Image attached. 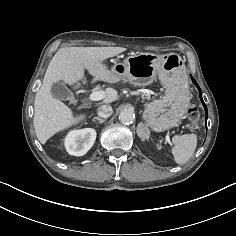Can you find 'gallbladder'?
<instances>
[{
	"mask_svg": "<svg viewBox=\"0 0 236 236\" xmlns=\"http://www.w3.org/2000/svg\"><path fill=\"white\" fill-rule=\"evenodd\" d=\"M51 94L57 99L69 101L71 104L76 103L74 94L61 81L56 82L51 86Z\"/></svg>",
	"mask_w": 236,
	"mask_h": 236,
	"instance_id": "gallbladder-1",
	"label": "gallbladder"
}]
</instances>
